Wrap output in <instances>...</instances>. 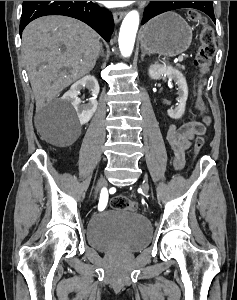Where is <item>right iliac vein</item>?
I'll return each instance as SVG.
<instances>
[{"label":"right iliac vein","mask_w":237,"mask_h":300,"mask_svg":"<svg viewBox=\"0 0 237 300\" xmlns=\"http://www.w3.org/2000/svg\"><path fill=\"white\" fill-rule=\"evenodd\" d=\"M106 185V181L104 178H100L98 181H97V184L95 186V191L96 193H98L102 187H104Z\"/></svg>","instance_id":"right-iliac-vein-1"}]
</instances>
